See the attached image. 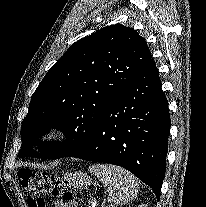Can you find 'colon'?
I'll return each mask as SVG.
<instances>
[{
    "mask_svg": "<svg viewBox=\"0 0 206 207\" xmlns=\"http://www.w3.org/2000/svg\"><path fill=\"white\" fill-rule=\"evenodd\" d=\"M17 176L20 186L28 194L29 207H47V196L62 197L64 201H70L73 197L72 192L55 173L21 168Z\"/></svg>",
    "mask_w": 206,
    "mask_h": 207,
    "instance_id": "1",
    "label": "colon"
}]
</instances>
